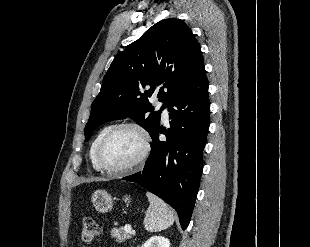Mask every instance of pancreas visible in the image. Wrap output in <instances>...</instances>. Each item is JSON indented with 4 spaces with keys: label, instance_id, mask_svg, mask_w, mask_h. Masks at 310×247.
I'll use <instances>...</instances> for the list:
<instances>
[{
    "label": "pancreas",
    "instance_id": "cf45deb5",
    "mask_svg": "<svg viewBox=\"0 0 310 247\" xmlns=\"http://www.w3.org/2000/svg\"><path fill=\"white\" fill-rule=\"evenodd\" d=\"M110 233H111L112 238H115L116 241L119 243L124 242L133 236L132 232H126L124 228H119V229L114 228L111 230Z\"/></svg>",
    "mask_w": 310,
    "mask_h": 247
}]
</instances>
